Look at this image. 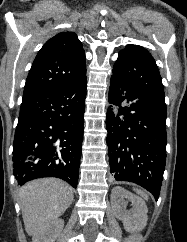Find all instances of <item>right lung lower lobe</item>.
Here are the masks:
<instances>
[{
	"instance_id": "98d812e1",
	"label": "right lung lower lobe",
	"mask_w": 187,
	"mask_h": 242,
	"mask_svg": "<svg viewBox=\"0 0 187 242\" xmlns=\"http://www.w3.org/2000/svg\"><path fill=\"white\" fill-rule=\"evenodd\" d=\"M87 79L22 100L13 144L19 185L57 177L77 187Z\"/></svg>"
}]
</instances>
